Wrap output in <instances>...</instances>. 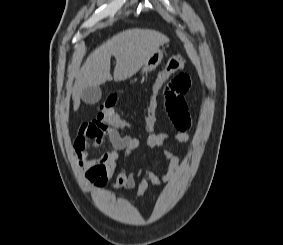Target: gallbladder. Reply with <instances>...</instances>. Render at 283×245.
<instances>
[{"mask_svg": "<svg viewBox=\"0 0 283 245\" xmlns=\"http://www.w3.org/2000/svg\"><path fill=\"white\" fill-rule=\"evenodd\" d=\"M101 89L96 87H87L83 90L81 98L86 104H95L101 99Z\"/></svg>", "mask_w": 283, "mask_h": 245, "instance_id": "1", "label": "gallbladder"}]
</instances>
